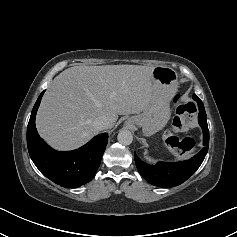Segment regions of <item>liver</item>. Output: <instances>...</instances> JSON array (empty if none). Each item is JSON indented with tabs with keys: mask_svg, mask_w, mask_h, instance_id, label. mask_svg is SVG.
<instances>
[{
	"mask_svg": "<svg viewBox=\"0 0 237 237\" xmlns=\"http://www.w3.org/2000/svg\"><path fill=\"white\" fill-rule=\"evenodd\" d=\"M155 67L140 65L74 66L49 84L41 101L36 128L53 148L72 150L98 131L101 116L114 126L118 115L140 113L153 97Z\"/></svg>",
	"mask_w": 237,
	"mask_h": 237,
	"instance_id": "liver-1",
	"label": "liver"
}]
</instances>
